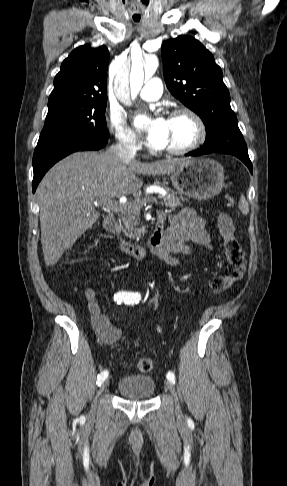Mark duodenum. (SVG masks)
<instances>
[{
	"mask_svg": "<svg viewBox=\"0 0 287 486\" xmlns=\"http://www.w3.org/2000/svg\"><path fill=\"white\" fill-rule=\"evenodd\" d=\"M164 220L163 216H158L154 230L145 245L133 244L127 241L116 227V220L113 214H108L103 220L104 229L116 237L121 251L137 259L144 258L148 253L155 254L162 246L164 240Z\"/></svg>",
	"mask_w": 287,
	"mask_h": 486,
	"instance_id": "1",
	"label": "duodenum"
}]
</instances>
